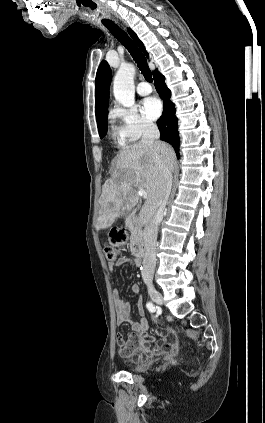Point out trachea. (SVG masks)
<instances>
[{
  "instance_id": "obj_1",
  "label": "trachea",
  "mask_w": 265,
  "mask_h": 423,
  "mask_svg": "<svg viewBox=\"0 0 265 423\" xmlns=\"http://www.w3.org/2000/svg\"><path fill=\"white\" fill-rule=\"evenodd\" d=\"M103 25L108 28L112 35L128 50L136 61L141 73L148 82H152V73L148 66L147 59L144 54L140 51L134 41L119 28L114 22L106 20L102 22Z\"/></svg>"
}]
</instances>
